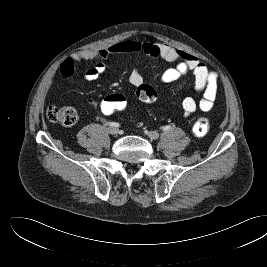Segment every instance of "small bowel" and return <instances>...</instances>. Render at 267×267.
I'll use <instances>...</instances> for the list:
<instances>
[{"instance_id": "obj_1", "label": "small bowel", "mask_w": 267, "mask_h": 267, "mask_svg": "<svg viewBox=\"0 0 267 267\" xmlns=\"http://www.w3.org/2000/svg\"><path fill=\"white\" fill-rule=\"evenodd\" d=\"M128 54H143L149 57H160L168 62H177L175 67L168 68L161 74L160 79L166 84L178 83L186 74H193L194 88L202 96L199 101H196L193 97L183 99L184 117L191 116L197 109L202 112H208L213 108L218 91L217 73L207 68L195 56L162 42L125 40L107 48L81 51L67 57L61 63L59 72L62 78L68 79L73 75L77 61L90 60L93 65L84 72L83 77L87 81H94L106 73L107 65L104 62L105 59L114 55ZM130 82L134 86H139L144 82V77L137 68L132 70ZM179 87H182V84L179 83ZM89 102L93 107L98 106L95 100H90Z\"/></svg>"}]
</instances>
